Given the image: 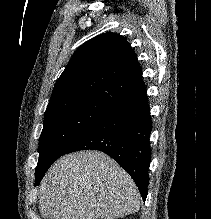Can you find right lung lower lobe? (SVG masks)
Returning <instances> with one entry per match:
<instances>
[{
  "label": "right lung lower lobe",
  "instance_id": "98d812e1",
  "mask_svg": "<svg viewBox=\"0 0 211 219\" xmlns=\"http://www.w3.org/2000/svg\"><path fill=\"white\" fill-rule=\"evenodd\" d=\"M151 130L149 104L144 90L117 105L79 136L62 155L87 149L105 152L129 173L145 200L151 160Z\"/></svg>",
  "mask_w": 211,
  "mask_h": 219
}]
</instances>
